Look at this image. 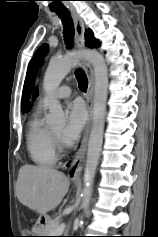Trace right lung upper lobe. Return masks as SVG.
<instances>
[{"instance_id":"cb5924a9","label":"right lung upper lobe","mask_w":158,"mask_h":237,"mask_svg":"<svg viewBox=\"0 0 158 237\" xmlns=\"http://www.w3.org/2000/svg\"><path fill=\"white\" fill-rule=\"evenodd\" d=\"M36 96H37V92L34 93L33 98H35ZM30 107H31V105H29L28 110L30 109Z\"/></svg>"}]
</instances>
